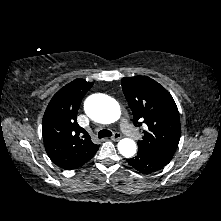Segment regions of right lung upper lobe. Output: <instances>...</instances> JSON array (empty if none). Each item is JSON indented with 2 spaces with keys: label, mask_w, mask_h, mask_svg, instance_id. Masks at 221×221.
<instances>
[{
  "label": "right lung upper lobe",
  "mask_w": 221,
  "mask_h": 221,
  "mask_svg": "<svg viewBox=\"0 0 221 221\" xmlns=\"http://www.w3.org/2000/svg\"><path fill=\"white\" fill-rule=\"evenodd\" d=\"M92 86L84 79L72 81L53 96L44 113L42 134L46 152L65 170L81 167L99 148L76 120L81 100Z\"/></svg>",
  "instance_id": "1"
}]
</instances>
